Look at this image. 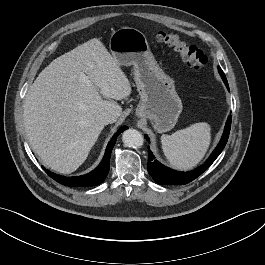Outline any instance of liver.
Here are the masks:
<instances>
[{
  "instance_id": "obj_1",
  "label": "liver",
  "mask_w": 265,
  "mask_h": 265,
  "mask_svg": "<svg viewBox=\"0 0 265 265\" xmlns=\"http://www.w3.org/2000/svg\"><path fill=\"white\" fill-rule=\"evenodd\" d=\"M131 92L127 76L99 39L59 56L25 97L24 126L31 148L48 168L74 172L104 128L97 116L108 112L117 120L122 108L113 100Z\"/></svg>"
}]
</instances>
